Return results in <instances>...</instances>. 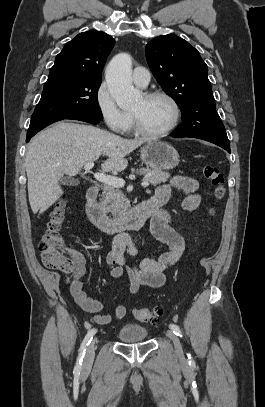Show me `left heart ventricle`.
<instances>
[{
	"label": "left heart ventricle",
	"instance_id": "1",
	"mask_svg": "<svg viewBox=\"0 0 265 407\" xmlns=\"http://www.w3.org/2000/svg\"><path fill=\"white\" fill-rule=\"evenodd\" d=\"M141 127L147 131H161L169 126L173 119V109L168 101L157 98L146 100L141 97L131 110Z\"/></svg>",
	"mask_w": 265,
	"mask_h": 407
}]
</instances>
